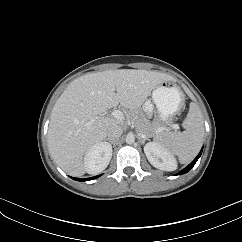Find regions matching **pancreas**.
<instances>
[{
  "label": "pancreas",
  "instance_id": "obj_1",
  "mask_svg": "<svg viewBox=\"0 0 242 242\" xmlns=\"http://www.w3.org/2000/svg\"><path fill=\"white\" fill-rule=\"evenodd\" d=\"M134 116L131 118L133 124L135 125L136 131L139 135H146L147 137H152L160 131L165 130L157 123H150L148 119L145 118L143 114L138 113L139 116Z\"/></svg>",
  "mask_w": 242,
  "mask_h": 242
}]
</instances>
